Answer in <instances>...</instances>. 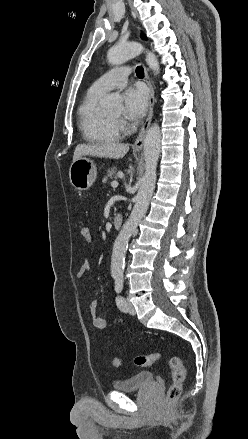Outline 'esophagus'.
<instances>
[{"label": "esophagus", "instance_id": "34e87169", "mask_svg": "<svg viewBox=\"0 0 248 439\" xmlns=\"http://www.w3.org/2000/svg\"><path fill=\"white\" fill-rule=\"evenodd\" d=\"M144 72H145V81H146L147 86L149 88V113H148V117H147L146 122L141 127L139 135L133 144V147L137 150L142 149V147H143L145 134H146V131L149 128L151 120H152L154 103H155L154 88H153L151 79L149 77L148 70L145 66H144Z\"/></svg>", "mask_w": 248, "mask_h": 439}]
</instances>
